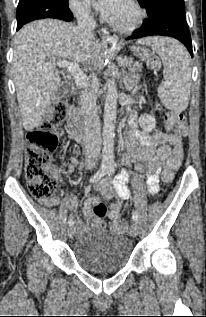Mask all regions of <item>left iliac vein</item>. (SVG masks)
<instances>
[{"label":"left iliac vein","instance_id":"obj_1","mask_svg":"<svg viewBox=\"0 0 206 317\" xmlns=\"http://www.w3.org/2000/svg\"><path fill=\"white\" fill-rule=\"evenodd\" d=\"M130 235L136 237L138 235V225L137 223H132L130 228Z\"/></svg>","mask_w":206,"mask_h":317}]
</instances>
